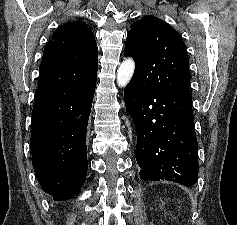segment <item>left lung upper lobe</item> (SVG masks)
I'll use <instances>...</instances> for the list:
<instances>
[{"label":"left lung upper lobe","mask_w":237,"mask_h":225,"mask_svg":"<svg viewBox=\"0 0 237 225\" xmlns=\"http://www.w3.org/2000/svg\"><path fill=\"white\" fill-rule=\"evenodd\" d=\"M125 55L135 61L132 80L143 89L190 94L189 58L179 33L147 15L127 33Z\"/></svg>","instance_id":"5c2ea615"}]
</instances>
